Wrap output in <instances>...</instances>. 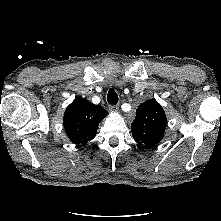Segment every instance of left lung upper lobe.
<instances>
[{
    "mask_svg": "<svg viewBox=\"0 0 221 221\" xmlns=\"http://www.w3.org/2000/svg\"><path fill=\"white\" fill-rule=\"evenodd\" d=\"M166 125L162 106L155 99H149L137 108L131 131L139 145L152 146L163 139Z\"/></svg>",
    "mask_w": 221,
    "mask_h": 221,
    "instance_id": "left-lung-upper-lobe-1",
    "label": "left lung upper lobe"
}]
</instances>
